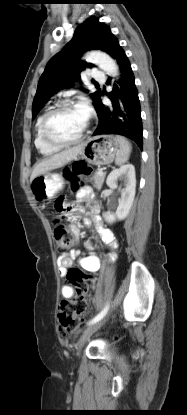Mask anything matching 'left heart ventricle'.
Returning <instances> with one entry per match:
<instances>
[{
	"label": "left heart ventricle",
	"mask_w": 187,
	"mask_h": 415,
	"mask_svg": "<svg viewBox=\"0 0 187 415\" xmlns=\"http://www.w3.org/2000/svg\"><path fill=\"white\" fill-rule=\"evenodd\" d=\"M86 121L75 107L65 108L53 116L49 131L58 139H74L82 132Z\"/></svg>",
	"instance_id": "left-heart-ventricle-1"
}]
</instances>
